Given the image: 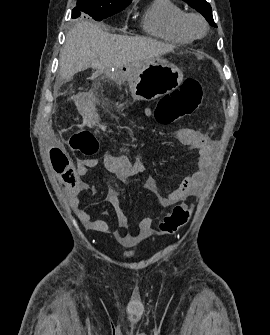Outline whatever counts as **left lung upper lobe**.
Segmentation results:
<instances>
[{"instance_id":"5c2ea615","label":"left lung upper lobe","mask_w":270,"mask_h":335,"mask_svg":"<svg viewBox=\"0 0 270 335\" xmlns=\"http://www.w3.org/2000/svg\"><path fill=\"white\" fill-rule=\"evenodd\" d=\"M188 3L192 8L196 9L199 13H201L206 20L213 27H217L212 16V9L210 4L206 0H183Z\"/></svg>"}]
</instances>
